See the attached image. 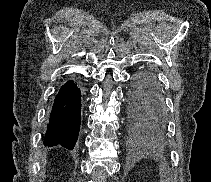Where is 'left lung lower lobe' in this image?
<instances>
[{
  "instance_id": "left-lung-lower-lobe-1",
  "label": "left lung lower lobe",
  "mask_w": 211,
  "mask_h": 182,
  "mask_svg": "<svg viewBox=\"0 0 211 182\" xmlns=\"http://www.w3.org/2000/svg\"><path fill=\"white\" fill-rule=\"evenodd\" d=\"M130 99L137 118L151 129L152 134L164 130L167 113L163 93L155 74L142 70L134 75Z\"/></svg>"
}]
</instances>
